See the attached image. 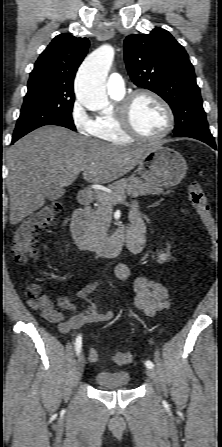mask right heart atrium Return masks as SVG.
Instances as JSON below:
<instances>
[{"instance_id": "1", "label": "right heart atrium", "mask_w": 222, "mask_h": 447, "mask_svg": "<svg viewBox=\"0 0 222 447\" xmlns=\"http://www.w3.org/2000/svg\"><path fill=\"white\" fill-rule=\"evenodd\" d=\"M71 120L77 132L82 135H92L94 120L90 118L78 102L72 106Z\"/></svg>"}]
</instances>
